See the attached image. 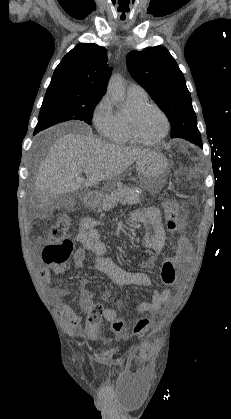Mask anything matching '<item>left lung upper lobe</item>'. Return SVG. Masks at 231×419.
Listing matches in <instances>:
<instances>
[{"instance_id":"1","label":"left lung upper lobe","mask_w":231,"mask_h":419,"mask_svg":"<svg viewBox=\"0 0 231 419\" xmlns=\"http://www.w3.org/2000/svg\"><path fill=\"white\" fill-rule=\"evenodd\" d=\"M127 66L132 77L163 109L171 123V138L201 139L183 73L163 46L131 51Z\"/></svg>"}]
</instances>
